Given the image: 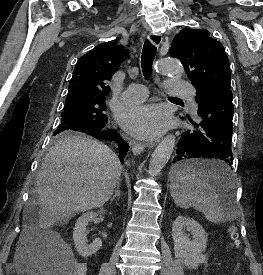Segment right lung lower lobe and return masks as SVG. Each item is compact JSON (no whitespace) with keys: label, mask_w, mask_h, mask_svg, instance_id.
<instances>
[{"label":"right lung lower lobe","mask_w":263,"mask_h":275,"mask_svg":"<svg viewBox=\"0 0 263 275\" xmlns=\"http://www.w3.org/2000/svg\"><path fill=\"white\" fill-rule=\"evenodd\" d=\"M77 131L91 135L97 139H109V140H116L118 144V150L120 153V161L123 163L124 157L126 156L129 145L118 136V133L116 131L112 130L110 132L102 131L101 129H78Z\"/></svg>","instance_id":"1"}]
</instances>
